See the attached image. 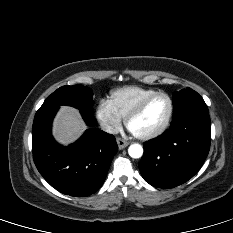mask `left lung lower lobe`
<instances>
[{
    "mask_svg": "<svg viewBox=\"0 0 233 233\" xmlns=\"http://www.w3.org/2000/svg\"><path fill=\"white\" fill-rule=\"evenodd\" d=\"M208 110H194L172 120L170 129L144 144L139 163L150 185L172 188L192 178L203 165L210 148Z\"/></svg>",
    "mask_w": 233,
    "mask_h": 233,
    "instance_id": "obj_1",
    "label": "left lung lower lobe"
}]
</instances>
